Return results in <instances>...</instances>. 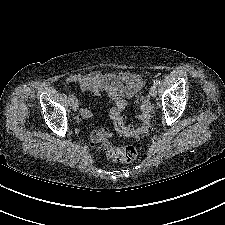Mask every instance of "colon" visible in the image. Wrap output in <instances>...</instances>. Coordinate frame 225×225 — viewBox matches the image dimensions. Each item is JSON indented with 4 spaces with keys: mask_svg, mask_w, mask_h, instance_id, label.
<instances>
[{
    "mask_svg": "<svg viewBox=\"0 0 225 225\" xmlns=\"http://www.w3.org/2000/svg\"><path fill=\"white\" fill-rule=\"evenodd\" d=\"M140 109V124L137 127L127 126L121 110L112 112V118L116 131L124 137L141 138L147 135L152 125V107L147 97L141 96L138 101ZM111 136L106 130L97 131L94 134V144H99L111 162H131L137 157V149L132 145L116 147L110 140Z\"/></svg>",
    "mask_w": 225,
    "mask_h": 225,
    "instance_id": "5ec220e1",
    "label": "colon"
}]
</instances>
